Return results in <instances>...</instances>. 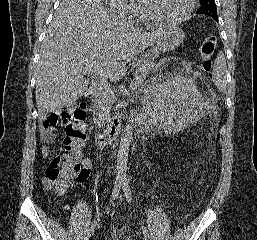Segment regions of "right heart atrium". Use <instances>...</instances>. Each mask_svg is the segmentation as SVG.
Masks as SVG:
<instances>
[{
  "mask_svg": "<svg viewBox=\"0 0 257 240\" xmlns=\"http://www.w3.org/2000/svg\"><path fill=\"white\" fill-rule=\"evenodd\" d=\"M136 1L137 0H110V4L113 10L121 17L130 22H136L140 15V9Z\"/></svg>",
  "mask_w": 257,
  "mask_h": 240,
  "instance_id": "d8ad5b80",
  "label": "right heart atrium"
}]
</instances>
